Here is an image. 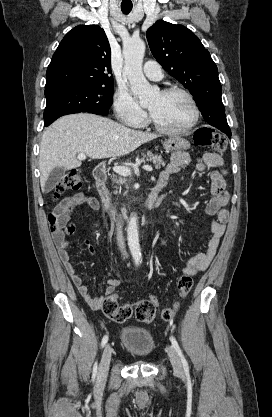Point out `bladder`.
Returning a JSON list of instances; mask_svg holds the SVG:
<instances>
[{"label":"bladder","instance_id":"31cf9c89","mask_svg":"<svg viewBox=\"0 0 272 417\" xmlns=\"http://www.w3.org/2000/svg\"><path fill=\"white\" fill-rule=\"evenodd\" d=\"M121 341L124 348L137 358H147L155 349L153 336L148 331L136 327L123 328Z\"/></svg>","mask_w":272,"mask_h":417}]
</instances>
